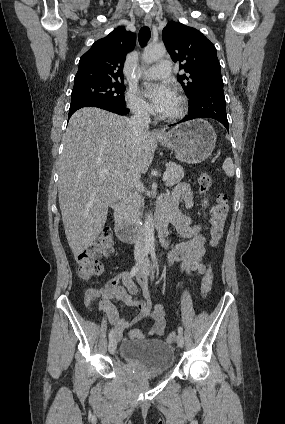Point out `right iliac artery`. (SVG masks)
<instances>
[{"label":"right iliac artery","instance_id":"obj_1","mask_svg":"<svg viewBox=\"0 0 285 424\" xmlns=\"http://www.w3.org/2000/svg\"><path fill=\"white\" fill-rule=\"evenodd\" d=\"M150 249L149 248H146L145 250H144V253H143V257H142V260L141 261H139V263H137L132 269H131V271H130V273H128V278L132 281V278L137 274V272L139 271V269H140V266H141V263L143 262V260L144 259H146L147 257H148V255H149V253H150ZM114 334H115V332H114V329H112L111 331H110V333H109V339L111 340L113 337H114Z\"/></svg>","mask_w":285,"mask_h":424}]
</instances>
